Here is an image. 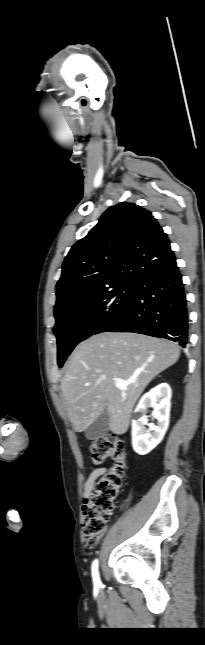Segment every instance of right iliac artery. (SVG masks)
Listing matches in <instances>:
<instances>
[{
    "mask_svg": "<svg viewBox=\"0 0 205 645\" xmlns=\"http://www.w3.org/2000/svg\"><path fill=\"white\" fill-rule=\"evenodd\" d=\"M92 577H93V582L95 587L100 586V577H99V572H98V560H94L92 563Z\"/></svg>",
    "mask_w": 205,
    "mask_h": 645,
    "instance_id": "obj_1",
    "label": "right iliac artery"
}]
</instances>
